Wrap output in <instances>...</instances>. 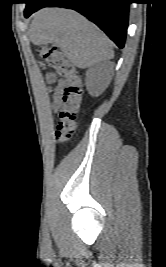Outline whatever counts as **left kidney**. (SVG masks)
I'll use <instances>...</instances> for the list:
<instances>
[{"instance_id": "obj_1", "label": "left kidney", "mask_w": 166, "mask_h": 267, "mask_svg": "<svg viewBox=\"0 0 166 267\" xmlns=\"http://www.w3.org/2000/svg\"><path fill=\"white\" fill-rule=\"evenodd\" d=\"M86 89L92 96H97L106 87L104 65L94 66L87 70L85 77Z\"/></svg>"}]
</instances>
